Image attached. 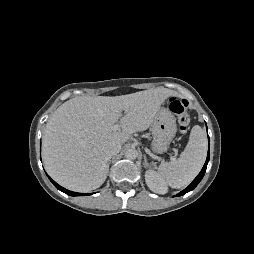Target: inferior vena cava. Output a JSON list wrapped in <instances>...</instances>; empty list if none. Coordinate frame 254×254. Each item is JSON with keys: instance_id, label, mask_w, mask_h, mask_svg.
<instances>
[{"instance_id": "inferior-vena-cava-1", "label": "inferior vena cava", "mask_w": 254, "mask_h": 254, "mask_svg": "<svg viewBox=\"0 0 254 254\" xmlns=\"http://www.w3.org/2000/svg\"><path fill=\"white\" fill-rule=\"evenodd\" d=\"M121 150V144L119 142L110 143L106 148V156L111 158L112 156L118 154Z\"/></svg>"}]
</instances>
